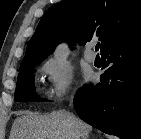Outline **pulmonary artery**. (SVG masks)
<instances>
[{
    "label": "pulmonary artery",
    "mask_w": 141,
    "mask_h": 139,
    "mask_svg": "<svg viewBox=\"0 0 141 139\" xmlns=\"http://www.w3.org/2000/svg\"><path fill=\"white\" fill-rule=\"evenodd\" d=\"M84 58L86 61L92 63L95 61L96 59V55L93 52V50L91 49V46H88L87 49L84 52Z\"/></svg>",
    "instance_id": "obj_1"
}]
</instances>
